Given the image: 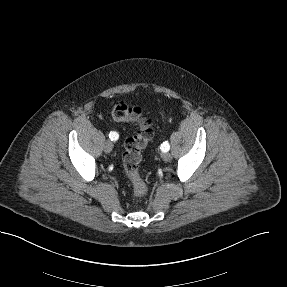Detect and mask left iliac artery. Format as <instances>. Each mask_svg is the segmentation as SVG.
I'll return each instance as SVG.
<instances>
[{
	"mask_svg": "<svg viewBox=\"0 0 287 287\" xmlns=\"http://www.w3.org/2000/svg\"><path fill=\"white\" fill-rule=\"evenodd\" d=\"M160 149H161L163 152L169 151V149H170L169 143H168L167 141L163 142V144H161Z\"/></svg>",
	"mask_w": 287,
	"mask_h": 287,
	"instance_id": "obj_1",
	"label": "left iliac artery"
}]
</instances>
